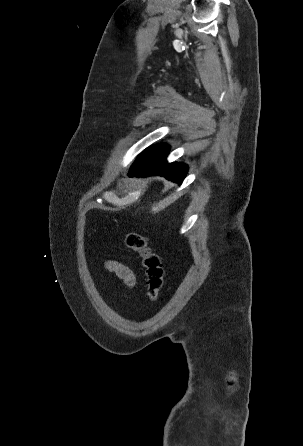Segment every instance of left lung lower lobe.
Here are the masks:
<instances>
[{
  "label": "left lung lower lobe",
  "instance_id": "left-lung-lower-lobe-1",
  "mask_svg": "<svg viewBox=\"0 0 303 446\" xmlns=\"http://www.w3.org/2000/svg\"><path fill=\"white\" fill-rule=\"evenodd\" d=\"M169 147L156 145L139 156L130 168V176L160 175L173 182L182 183L187 174L184 163H167Z\"/></svg>",
  "mask_w": 303,
  "mask_h": 446
}]
</instances>
